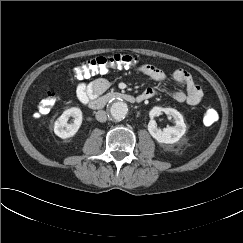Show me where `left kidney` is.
<instances>
[{
  "label": "left kidney",
  "instance_id": "1",
  "mask_svg": "<svg viewBox=\"0 0 243 243\" xmlns=\"http://www.w3.org/2000/svg\"><path fill=\"white\" fill-rule=\"evenodd\" d=\"M161 112L172 116L175 120V126H167L163 130L157 128V124L153 119L159 116ZM151 120L148 123V131L150 135L159 143L172 144L177 142L186 132V124L184 123L183 116L173 108L154 107L150 113Z\"/></svg>",
  "mask_w": 243,
  "mask_h": 243
}]
</instances>
